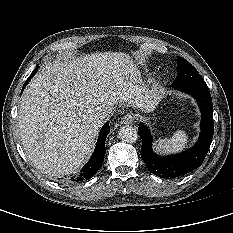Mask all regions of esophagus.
Returning <instances> with one entry per match:
<instances>
[{"mask_svg":"<svg viewBox=\"0 0 233 233\" xmlns=\"http://www.w3.org/2000/svg\"><path fill=\"white\" fill-rule=\"evenodd\" d=\"M135 119V116L132 113L125 114L121 119V124H131Z\"/></svg>","mask_w":233,"mask_h":233,"instance_id":"34e87169","label":"esophagus"}]
</instances>
